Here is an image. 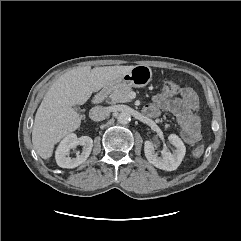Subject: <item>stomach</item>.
<instances>
[{"mask_svg":"<svg viewBox=\"0 0 241 241\" xmlns=\"http://www.w3.org/2000/svg\"><path fill=\"white\" fill-rule=\"evenodd\" d=\"M152 80V70L146 65H136L128 73L109 83L106 88L114 90L122 87L142 88Z\"/></svg>","mask_w":241,"mask_h":241,"instance_id":"stomach-1","label":"stomach"}]
</instances>
